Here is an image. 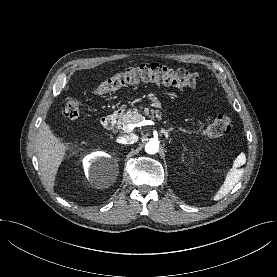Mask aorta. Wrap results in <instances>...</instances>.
I'll return each instance as SVG.
<instances>
[{
  "instance_id": "762f6f07",
  "label": "aorta",
  "mask_w": 277,
  "mask_h": 277,
  "mask_svg": "<svg viewBox=\"0 0 277 277\" xmlns=\"http://www.w3.org/2000/svg\"><path fill=\"white\" fill-rule=\"evenodd\" d=\"M159 150V142L155 139H151L145 146V151L148 154H155Z\"/></svg>"
}]
</instances>
